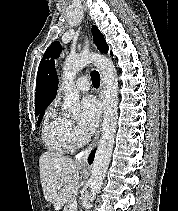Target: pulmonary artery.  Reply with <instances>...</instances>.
<instances>
[{"label": "pulmonary artery", "mask_w": 178, "mask_h": 211, "mask_svg": "<svg viewBox=\"0 0 178 211\" xmlns=\"http://www.w3.org/2000/svg\"><path fill=\"white\" fill-rule=\"evenodd\" d=\"M91 81L87 76H81L77 79L75 87L78 91L86 92L90 88Z\"/></svg>", "instance_id": "pulmonary-artery-1"}]
</instances>
